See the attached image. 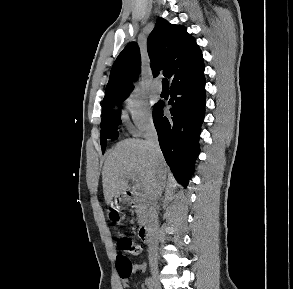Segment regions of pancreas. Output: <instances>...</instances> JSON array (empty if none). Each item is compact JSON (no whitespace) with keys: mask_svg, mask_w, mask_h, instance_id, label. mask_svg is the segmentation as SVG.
<instances>
[{"mask_svg":"<svg viewBox=\"0 0 293 289\" xmlns=\"http://www.w3.org/2000/svg\"><path fill=\"white\" fill-rule=\"evenodd\" d=\"M136 202L135 212L137 214L138 223L142 224L146 216V204L140 199H137Z\"/></svg>","mask_w":293,"mask_h":289,"instance_id":"1","label":"pancreas"}]
</instances>
